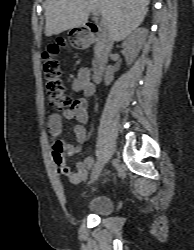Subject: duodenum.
<instances>
[{"label": "duodenum", "mask_w": 194, "mask_h": 250, "mask_svg": "<svg viewBox=\"0 0 194 250\" xmlns=\"http://www.w3.org/2000/svg\"><path fill=\"white\" fill-rule=\"evenodd\" d=\"M82 38L88 40L98 47L97 54L93 60L92 78L98 82L101 80L107 64V56L111 50V42L106 36L103 28L96 24L88 22L85 25V33L81 35Z\"/></svg>", "instance_id": "1"}]
</instances>
